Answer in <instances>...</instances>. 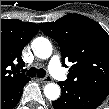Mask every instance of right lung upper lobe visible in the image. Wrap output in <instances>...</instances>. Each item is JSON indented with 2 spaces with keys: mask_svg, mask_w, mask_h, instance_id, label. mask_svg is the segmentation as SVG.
<instances>
[{
  "mask_svg": "<svg viewBox=\"0 0 109 109\" xmlns=\"http://www.w3.org/2000/svg\"><path fill=\"white\" fill-rule=\"evenodd\" d=\"M39 27L35 23L18 19L1 20V91L29 78L24 73L11 72L9 67L22 68L21 53L26 44L36 35ZM16 69V68H15Z\"/></svg>",
  "mask_w": 109,
  "mask_h": 109,
  "instance_id": "right-lung-upper-lobe-1",
  "label": "right lung upper lobe"
}]
</instances>
